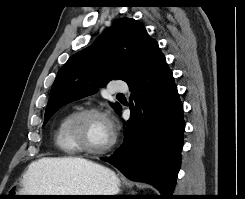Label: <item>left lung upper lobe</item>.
<instances>
[{
    "mask_svg": "<svg viewBox=\"0 0 245 199\" xmlns=\"http://www.w3.org/2000/svg\"><path fill=\"white\" fill-rule=\"evenodd\" d=\"M159 50L141 23L131 18L116 20L91 46L74 54L59 70L43 125L62 106L95 93L112 79L130 83L143 74ZM112 106L117 112L121 109L118 103Z\"/></svg>",
    "mask_w": 245,
    "mask_h": 199,
    "instance_id": "obj_1",
    "label": "left lung upper lobe"
}]
</instances>
